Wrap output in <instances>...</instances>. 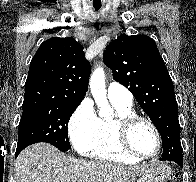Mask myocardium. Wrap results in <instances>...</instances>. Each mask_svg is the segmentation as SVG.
<instances>
[{
	"label": "myocardium",
	"instance_id": "1",
	"mask_svg": "<svg viewBox=\"0 0 196 182\" xmlns=\"http://www.w3.org/2000/svg\"><path fill=\"white\" fill-rule=\"evenodd\" d=\"M139 122H144L148 124L151 129L153 130L156 141H157V147L153 154L151 155H142L138 153L131 145L130 143V132L134 125H136ZM115 126V134H116V140L123 152L128 154L129 156L138 159V160H150L155 158L162 149V137L161 133L157 127V125L148 117L137 115V114H128V115H122L115 119L114 122Z\"/></svg>",
	"mask_w": 196,
	"mask_h": 182
}]
</instances>
